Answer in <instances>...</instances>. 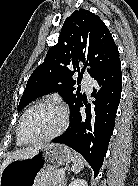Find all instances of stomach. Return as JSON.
I'll use <instances>...</instances> for the list:
<instances>
[{
    "instance_id": "0dacf381",
    "label": "stomach",
    "mask_w": 138,
    "mask_h": 186,
    "mask_svg": "<svg viewBox=\"0 0 138 186\" xmlns=\"http://www.w3.org/2000/svg\"><path fill=\"white\" fill-rule=\"evenodd\" d=\"M72 153L63 144H45L33 155L8 163L0 173V186H37L38 177L70 163Z\"/></svg>"
}]
</instances>
